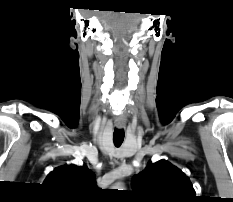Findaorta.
Wrapping results in <instances>:
<instances>
[{
  "mask_svg": "<svg viewBox=\"0 0 233 202\" xmlns=\"http://www.w3.org/2000/svg\"><path fill=\"white\" fill-rule=\"evenodd\" d=\"M116 187H118V188H119V187H122V186H121V184H118V185H116Z\"/></svg>",
  "mask_w": 233,
  "mask_h": 202,
  "instance_id": "762f6f07",
  "label": "aorta"
}]
</instances>
